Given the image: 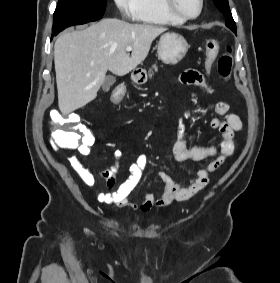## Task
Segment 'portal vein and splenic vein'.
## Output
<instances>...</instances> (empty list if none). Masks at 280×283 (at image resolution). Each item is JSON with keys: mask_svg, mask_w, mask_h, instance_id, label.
<instances>
[{"mask_svg": "<svg viewBox=\"0 0 280 283\" xmlns=\"http://www.w3.org/2000/svg\"><path fill=\"white\" fill-rule=\"evenodd\" d=\"M132 50V47L131 46H127L126 47V51H131Z\"/></svg>", "mask_w": 280, "mask_h": 283, "instance_id": "portal-vein-and-splenic-vein-1", "label": "portal vein and splenic vein"}]
</instances>
